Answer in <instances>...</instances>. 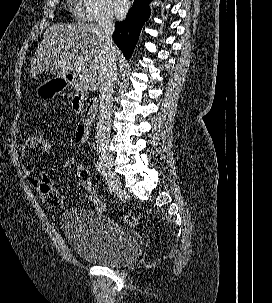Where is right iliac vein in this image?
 <instances>
[{
	"label": "right iliac vein",
	"instance_id": "1",
	"mask_svg": "<svg viewBox=\"0 0 272 303\" xmlns=\"http://www.w3.org/2000/svg\"><path fill=\"white\" fill-rule=\"evenodd\" d=\"M101 161H102L103 166L105 167V169L107 170V172L109 174V177L111 179V182L114 186L115 191L118 194H121L123 189H122V186H121L119 176L117 174H115L114 171H113L112 159L108 156L102 155L101 156Z\"/></svg>",
	"mask_w": 272,
	"mask_h": 303
}]
</instances>
